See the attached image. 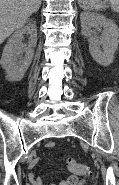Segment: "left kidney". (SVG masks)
<instances>
[{
	"mask_svg": "<svg viewBox=\"0 0 119 185\" xmlns=\"http://www.w3.org/2000/svg\"><path fill=\"white\" fill-rule=\"evenodd\" d=\"M81 33L88 38L89 52L92 58L102 66H109L114 60L118 48L119 29L113 20L94 12L80 14ZM103 28L100 37L92 29Z\"/></svg>",
	"mask_w": 119,
	"mask_h": 185,
	"instance_id": "5707ae66",
	"label": "left kidney"
}]
</instances>
